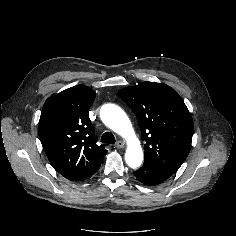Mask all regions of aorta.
<instances>
[{
  "label": "aorta",
  "instance_id": "aorta-1",
  "mask_svg": "<svg viewBox=\"0 0 236 236\" xmlns=\"http://www.w3.org/2000/svg\"><path fill=\"white\" fill-rule=\"evenodd\" d=\"M104 124L127 140L125 161L131 168L142 164L143 151L126 113L115 104H105L100 111Z\"/></svg>",
  "mask_w": 236,
  "mask_h": 236
}]
</instances>
